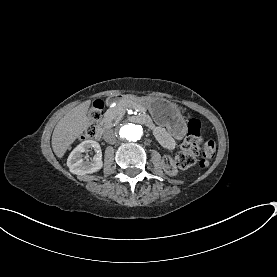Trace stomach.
<instances>
[{"instance_id": "0dacf381", "label": "stomach", "mask_w": 277, "mask_h": 277, "mask_svg": "<svg viewBox=\"0 0 277 277\" xmlns=\"http://www.w3.org/2000/svg\"><path fill=\"white\" fill-rule=\"evenodd\" d=\"M139 104L149 110L153 119L166 126L171 131H177L184 125V119L181 114V107L175 103L163 98H135Z\"/></svg>"}]
</instances>
